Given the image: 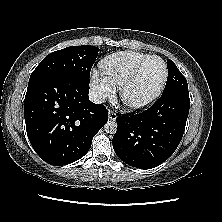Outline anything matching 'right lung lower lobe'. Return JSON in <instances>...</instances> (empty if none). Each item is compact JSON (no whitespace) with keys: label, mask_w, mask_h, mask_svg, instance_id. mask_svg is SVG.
<instances>
[{"label":"right lung lower lobe","mask_w":222,"mask_h":222,"mask_svg":"<svg viewBox=\"0 0 222 222\" xmlns=\"http://www.w3.org/2000/svg\"><path fill=\"white\" fill-rule=\"evenodd\" d=\"M89 83L47 77L28 85L24 115L29 141L50 165L62 166L82 158L92 139L108 121L103 105L88 97Z\"/></svg>","instance_id":"right-lung-lower-lobe-1"}]
</instances>
